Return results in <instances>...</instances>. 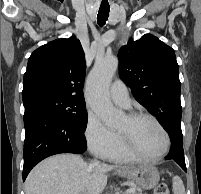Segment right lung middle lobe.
Here are the masks:
<instances>
[{"label": "right lung middle lobe", "mask_w": 201, "mask_h": 194, "mask_svg": "<svg viewBox=\"0 0 201 194\" xmlns=\"http://www.w3.org/2000/svg\"><path fill=\"white\" fill-rule=\"evenodd\" d=\"M30 106L41 107L59 114L82 133L86 129L85 102L60 96H41L24 103L25 108Z\"/></svg>", "instance_id": "obj_1"}]
</instances>
